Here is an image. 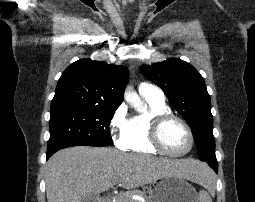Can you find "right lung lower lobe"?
Here are the masks:
<instances>
[{"instance_id":"right-lung-lower-lobe-1","label":"right lung lower lobe","mask_w":255,"mask_h":202,"mask_svg":"<svg viewBox=\"0 0 255 202\" xmlns=\"http://www.w3.org/2000/svg\"><path fill=\"white\" fill-rule=\"evenodd\" d=\"M55 152H47V159Z\"/></svg>"}]
</instances>
